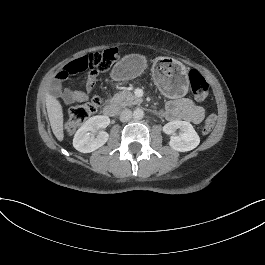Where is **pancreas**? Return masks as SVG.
I'll list each match as a JSON object with an SVG mask.
<instances>
[{"instance_id": "obj_1", "label": "pancreas", "mask_w": 265, "mask_h": 265, "mask_svg": "<svg viewBox=\"0 0 265 265\" xmlns=\"http://www.w3.org/2000/svg\"><path fill=\"white\" fill-rule=\"evenodd\" d=\"M112 101L119 104L122 108L126 106L136 105L142 103V98L134 96L129 91H122L113 96Z\"/></svg>"}]
</instances>
